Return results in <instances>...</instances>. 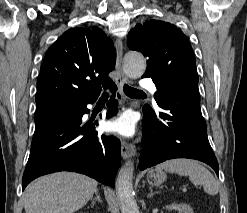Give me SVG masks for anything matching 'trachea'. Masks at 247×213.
Masks as SVG:
<instances>
[{
  "mask_svg": "<svg viewBox=\"0 0 247 213\" xmlns=\"http://www.w3.org/2000/svg\"><path fill=\"white\" fill-rule=\"evenodd\" d=\"M123 90H124L125 94L128 95V96L135 95V94H138V93L142 92L140 90H137V89H134L132 87H129L126 84L124 85ZM107 98H108V94L107 93H103V95L101 96V99H107Z\"/></svg>",
  "mask_w": 247,
  "mask_h": 213,
  "instance_id": "3493384b",
  "label": "trachea"
}]
</instances>
